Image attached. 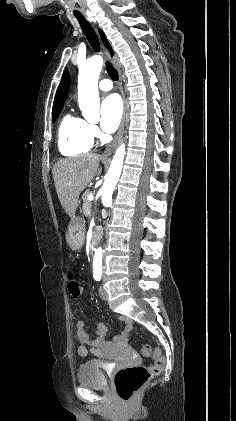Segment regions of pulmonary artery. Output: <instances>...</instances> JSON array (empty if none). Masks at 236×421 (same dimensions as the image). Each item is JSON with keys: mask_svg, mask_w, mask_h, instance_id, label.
Instances as JSON below:
<instances>
[{"mask_svg": "<svg viewBox=\"0 0 236 421\" xmlns=\"http://www.w3.org/2000/svg\"><path fill=\"white\" fill-rule=\"evenodd\" d=\"M98 87L102 91H110L113 89V83L109 79H103L99 82Z\"/></svg>", "mask_w": 236, "mask_h": 421, "instance_id": "1", "label": "pulmonary artery"}]
</instances>
